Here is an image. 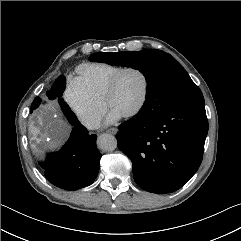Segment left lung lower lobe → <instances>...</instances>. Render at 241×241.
<instances>
[{
    "instance_id": "left-lung-lower-lobe-1",
    "label": "left lung lower lobe",
    "mask_w": 241,
    "mask_h": 241,
    "mask_svg": "<svg viewBox=\"0 0 241 241\" xmlns=\"http://www.w3.org/2000/svg\"><path fill=\"white\" fill-rule=\"evenodd\" d=\"M118 128V147L132 161L134 180L148 192L178 190L202 162L208 133L204 103L167 107L156 93Z\"/></svg>"
}]
</instances>
